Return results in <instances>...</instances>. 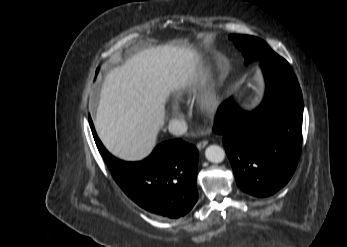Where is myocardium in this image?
I'll use <instances>...</instances> for the list:
<instances>
[{
  "label": "myocardium",
  "instance_id": "f54148a6",
  "mask_svg": "<svg viewBox=\"0 0 347 247\" xmlns=\"http://www.w3.org/2000/svg\"><path fill=\"white\" fill-rule=\"evenodd\" d=\"M220 104V96L214 83L205 85L198 99L199 110L204 114L211 116L215 114Z\"/></svg>",
  "mask_w": 347,
  "mask_h": 247
}]
</instances>
